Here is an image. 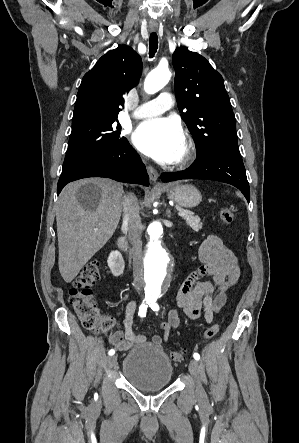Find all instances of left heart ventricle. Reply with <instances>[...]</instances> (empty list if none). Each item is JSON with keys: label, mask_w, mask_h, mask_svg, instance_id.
<instances>
[{"label": "left heart ventricle", "mask_w": 299, "mask_h": 443, "mask_svg": "<svg viewBox=\"0 0 299 443\" xmlns=\"http://www.w3.org/2000/svg\"><path fill=\"white\" fill-rule=\"evenodd\" d=\"M184 151H185V144L183 145V148H182V151H181V154L179 157H181L183 155Z\"/></svg>", "instance_id": "left-heart-ventricle-1"}]
</instances>
